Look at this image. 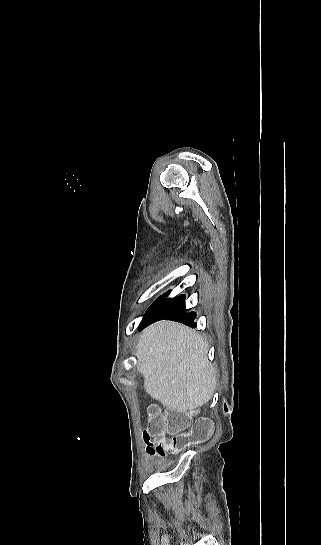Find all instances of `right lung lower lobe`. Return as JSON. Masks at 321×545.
<instances>
[{
    "label": "right lung lower lobe",
    "mask_w": 321,
    "mask_h": 545,
    "mask_svg": "<svg viewBox=\"0 0 321 545\" xmlns=\"http://www.w3.org/2000/svg\"><path fill=\"white\" fill-rule=\"evenodd\" d=\"M184 301V295H180L171 300H167L166 295L160 297L146 311L143 320L139 325V330L162 319L179 321L191 327L196 326V323L194 322L195 313H186Z\"/></svg>",
    "instance_id": "1"
}]
</instances>
